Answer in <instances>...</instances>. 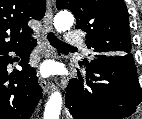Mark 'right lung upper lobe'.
I'll return each instance as SVG.
<instances>
[{"label": "right lung upper lobe", "instance_id": "cb5924a9", "mask_svg": "<svg viewBox=\"0 0 142 119\" xmlns=\"http://www.w3.org/2000/svg\"><path fill=\"white\" fill-rule=\"evenodd\" d=\"M45 0H0V52L20 47L33 33L30 19L41 20Z\"/></svg>", "mask_w": 142, "mask_h": 119}]
</instances>
